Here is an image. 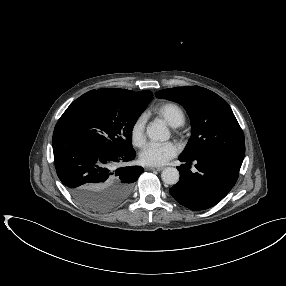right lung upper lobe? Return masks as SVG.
I'll return each mask as SVG.
<instances>
[{
    "mask_svg": "<svg viewBox=\"0 0 286 286\" xmlns=\"http://www.w3.org/2000/svg\"><path fill=\"white\" fill-rule=\"evenodd\" d=\"M109 90L116 92L120 95L126 96V97H131V98H148V99H153V94L149 90H143L140 92H134L131 90H125V89H119V88H108Z\"/></svg>",
    "mask_w": 286,
    "mask_h": 286,
    "instance_id": "1",
    "label": "right lung upper lobe"
}]
</instances>
